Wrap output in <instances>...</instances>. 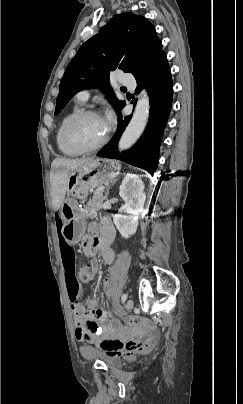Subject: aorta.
Here are the masks:
<instances>
[{
    "label": "aorta",
    "instance_id": "aorta-1",
    "mask_svg": "<svg viewBox=\"0 0 243 404\" xmlns=\"http://www.w3.org/2000/svg\"><path fill=\"white\" fill-rule=\"evenodd\" d=\"M149 110V98L145 90H143L136 104L133 118L119 140V150H129V148H131V146H134L135 142L139 140L141 134H143L146 128Z\"/></svg>",
    "mask_w": 243,
    "mask_h": 404
}]
</instances>
